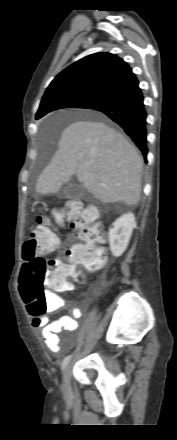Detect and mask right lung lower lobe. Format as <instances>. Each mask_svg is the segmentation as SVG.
<instances>
[{
  "label": "right lung lower lobe",
  "instance_id": "1",
  "mask_svg": "<svg viewBox=\"0 0 177 440\" xmlns=\"http://www.w3.org/2000/svg\"><path fill=\"white\" fill-rule=\"evenodd\" d=\"M144 97L139 82L132 83L104 95L86 109L96 110L107 115L119 124L141 150L146 160L147 148V113Z\"/></svg>",
  "mask_w": 177,
  "mask_h": 440
}]
</instances>
